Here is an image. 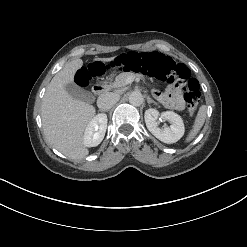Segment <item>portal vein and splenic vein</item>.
<instances>
[{
    "instance_id": "18ae733b",
    "label": "portal vein and splenic vein",
    "mask_w": 247,
    "mask_h": 247,
    "mask_svg": "<svg viewBox=\"0 0 247 247\" xmlns=\"http://www.w3.org/2000/svg\"><path fill=\"white\" fill-rule=\"evenodd\" d=\"M131 82H133V78L130 77L127 79V83H131Z\"/></svg>"
}]
</instances>
